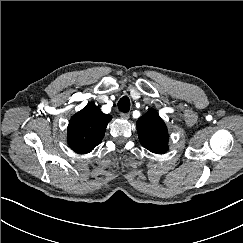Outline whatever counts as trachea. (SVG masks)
I'll return each instance as SVG.
<instances>
[{
    "instance_id": "trachea-1",
    "label": "trachea",
    "mask_w": 243,
    "mask_h": 243,
    "mask_svg": "<svg viewBox=\"0 0 243 243\" xmlns=\"http://www.w3.org/2000/svg\"><path fill=\"white\" fill-rule=\"evenodd\" d=\"M118 109L121 112L127 113L130 110V100L127 96H123L118 102Z\"/></svg>"
}]
</instances>
